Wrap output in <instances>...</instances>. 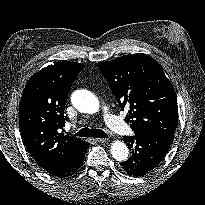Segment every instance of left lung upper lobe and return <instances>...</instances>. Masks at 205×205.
Segmentation results:
<instances>
[{
	"label": "left lung upper lobe",
	"mask_w": 205,
	"mask_h": 205,
	"mask_svg": "<svg viewBox=\"0 0 205 205\" xmlns=\"http://www.w3.org/2000/svg\"><path fill=\"white\" fill-rule=\"evenodd\" d=\"M98 67L121 109H128L126 121L130 122L135 135L175 132L176 94L153 58L142 53L124 55L100 62Z\"/></svg>",
	"instance_id": "1"
}]
</instances>
